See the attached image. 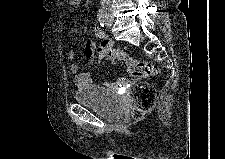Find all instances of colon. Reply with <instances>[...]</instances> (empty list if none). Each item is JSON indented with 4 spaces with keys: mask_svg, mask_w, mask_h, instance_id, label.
<instances>
[{
    "mask_svg": "<svg viewBox=\"0 0 225 159\" xmlns=\"http://www.w3.org/2000/svg\"><path fill=\"white\" fill-rule=\"evenodd\" d=\"M73 3L78 0H71ZM101 57H106L110 61H121L131 79L139 80L141 78L154 77L157 74V68L150 62L136 59L126 51L101 46L99 48ZM156 99V90L148 82L138 81L132 90V116L135 119L142 118L146 113L152 110Z\"/></svg>",
    "mask_w": 225,
    "mask_h": 159,
    "instance_id": "5ec220e1",
    "label": "colon"
}]
</instances>
